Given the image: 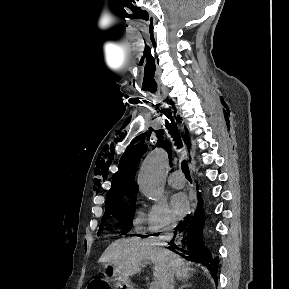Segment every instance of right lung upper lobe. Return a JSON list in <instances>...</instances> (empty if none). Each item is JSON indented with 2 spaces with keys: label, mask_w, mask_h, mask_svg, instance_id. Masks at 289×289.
<instances>
[{
  "label": "right lung upper lobe",
  "mask_w": 289,
  "mask_h": 289,
  "mask_svg": "<svg viewBox=\"0 0 289 289\" xmlns=\"http://www.w3.org/2000/svg\"><path fill=\"white\" fill-rule=\"evenodd\" d=\"M184 140L190 146L188 133L184 136ZM146 149V145L141 142L137 147L127 148L120 160V168L114 176L112 187L106 196V203L118 202L136 196L137 186L134 185V172Z\"/></svg>",
  "instance_id": "obj_1"
}]
</instances>
